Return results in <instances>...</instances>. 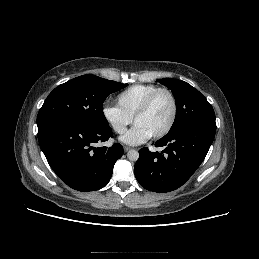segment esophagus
Segmentation results:
<instances>
[{
    "instance_id": "esophagus-1",
    "label": "esophagus",
    "mask_w": 259,
    "mask_h": 259,
    "mask_svg": "<svg viewBox=\"0 0 259 259\" xmlns=\"http://www.w3.org/2000/svg\"><path fill=\"white\" fill-rule=\"evenodd\" d=\"M130 149H131L130 147L124 146V151H125V152L129 151Z\"/></svg>"
}]
</instances>
